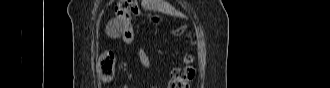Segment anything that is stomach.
<instances>
[{
	"label": "stomach",
	"mask_w": 330,
	"mask_h": 88,
	"mask_svg": "<svg viewBox=\"0 0 330 88\" xmlns=\"http://www.w3.org/2000/svg\"><path fill=\"white\" fill-rule=\"evenodd\" d=\"M192 35H193V32H192V31H189V33H188V35H187V36L191 38V37H192Z\"/></svg>",
	"instance_id": "obj_1"
}]
</instances>
